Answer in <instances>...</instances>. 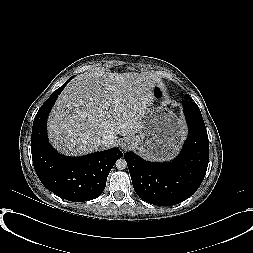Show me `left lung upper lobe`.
<instances>
[{"label":"left lung upper lobe","mask_w":253,"mask_h":253,"mask_svg":"<svg viewBox=\"0 0 253 253\" xmlns=\"http://www.w3.org/2000/svg\"><path fill=\"white\" fill-rule=\"evenodd\" d=\"M185 98H187V99H191L189 95H185Z\"/></svg>","instance_id":"obj_1"}]
</instances>
